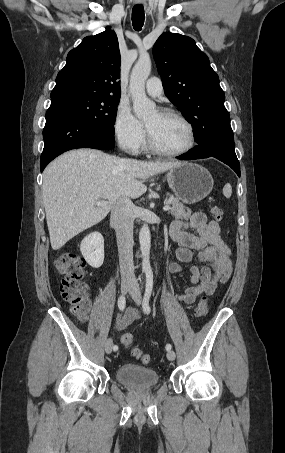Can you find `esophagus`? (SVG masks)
Here are the masks:
<instances>
[{
    "label": "esophagus",
    "mask_w": 285,
    "mask_h": 453,
    "mask_svg": "<svg viewBox=\"0 0 285 453\" xmlns=\"http://www.w3.org/2000/svg\"><path fill=\"white\" fill-rule=\"evenodd\" d=\"M136 3L140 4V3H144V0H135Z\"/></svg>",
    "instance_id": "obj_1"
}]
</instances>
